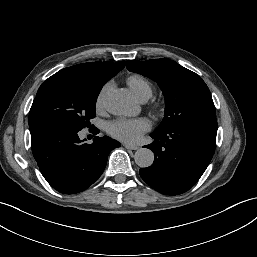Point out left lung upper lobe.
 Wrapping results in <instances>:
<instances>
[{
    "instance_id": "obj_1",
    "label": "left lung upper lobe",
    "mask_w": 257,
    "mask_h": 257,
    "mask_svg": "<svg viewBox=\"0 0 257 257\" xmlns=\"http://www.w3.org/2000/svg\"><path fill=\"white\" fill-rule=\"evenodd\" d=\"M127 69L157 82L165 97V117L154 132L216 117L209 88L196 73L170 59L127 62Z\"/></svg>"
}]
</instances>
